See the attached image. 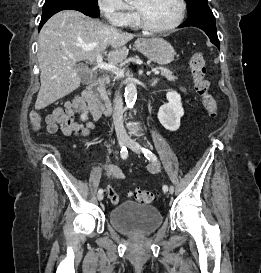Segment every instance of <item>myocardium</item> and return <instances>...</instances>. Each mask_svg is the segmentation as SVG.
Listing matches in <instances>:
<instances>
[{
  "instance_id": "obj_1",
  "label": "myocardium",
  "mask_w": 261,
  "mask_h": 273,
  "mask_svg": "<svg viewBox=\"0 0 261 273\" xmlns=\"http://www.w3.org/2000/svg\"><path fill=\"white\" fill-rule=\"evenodd\" d=\"M180 6V13L176 21L166 27H155L150 24L147 17L143 13V11L137 7H135L136 17L140 27L145 29L146 31L152 33H166L177 28L184 20L186 14V3L185 0H177Z\"/></svg>"
}]
</instances>
